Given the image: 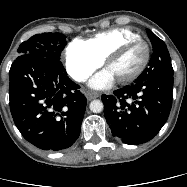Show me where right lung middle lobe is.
Returning a JSON list of instances; mask_svg holds the SVG:
<instances>
[{
  "mask_svg": "<svg viewBox=\"0 0 187 187\" xmlns=\"http://www.w3.org/2000/svg\"><path fill=\"white\" fill-rule=\"evenodd\" d=\"M66 45V36L61 33H42L21 43L19 55L35 54L60 60L61 51Z\"/></svg>",
  "mask_w": 187,
  "mask_h": 187,
  "instance_id": "dd1d6c3e",
  "label": "right lung middle lobe"
}]
</instances>
